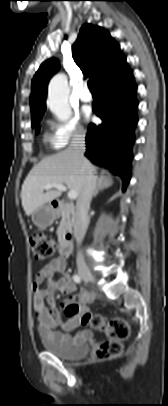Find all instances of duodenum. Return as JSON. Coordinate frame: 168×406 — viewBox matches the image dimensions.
Masks as SVG:
<instances>
[{"instance_id":"1","label":"duodenum","mask_w":168,"mask_h":406,"mask_svg":"<svg viewBox=\"0 0 168 406\" xmlns=\"http://www.w3.org/2000/svg\"><path fill=\"white\" fill-rule=\"evenodd\" d=\"M66 205L60 200H53L51 207L55 210L63 209ZM70 209H74V205H69ZM73 251V236L71 233L65 234L60 239V252L63 257H69Z\"/></svg>"}]
</instances>
